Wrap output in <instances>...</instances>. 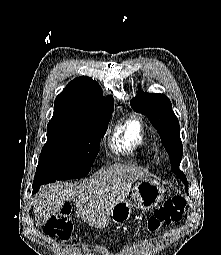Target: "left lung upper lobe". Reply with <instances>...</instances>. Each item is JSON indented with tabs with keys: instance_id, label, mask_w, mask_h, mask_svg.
Segmentation results:
<instances>
[{
	"instance_id": "5c2ea615",
	"label": "left lung upper lobe",
	"mask_w": 221,
	"mask_h": 255,
	"mask_svg": "<svg viewBox=\"0 0 221 255\" xmlns=\"http://www.w3.org/2000/svg\"><path fill=\"white\" fill-rule=\"evenodd\" d=\"M130 103L136 112L147 115L151 124L157 129L162 145L170 156L171 169L184 183L187 191L186 176L179 170L183 154L179 121L172 110L169 98L160 93L149 94L139 91Z\"/></svg>"
}]
</instances>
